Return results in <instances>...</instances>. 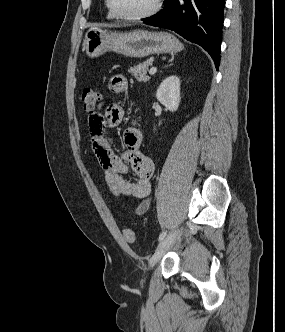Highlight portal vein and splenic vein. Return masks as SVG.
Wrapping results in <instances>:
<instances>
[{
    "label": "portal vein and splenic vein",
    "instance_id": "18ae733b",
    "mask_svg": "<svg viewBox=\"0 0 285 332\" xmlns=\"http://www.w3.org/2000/svg\"><path fill=\"white\" fill-rule=\"evenodd\" d=\"M156 71H157V68H156V67H152V68L149 70V74H150V75H153V74L156 73Z\"/></svg>",
    "mask_w": 285,
    "mask_h": 332
}]
</instances>
